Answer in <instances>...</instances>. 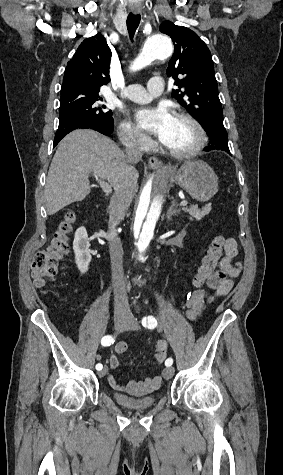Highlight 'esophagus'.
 I'll return each mask as SVG.
<instances>
[{
  "label": "esophagus",
  "mask_w": 283,
  "mask_h": 475,
  "mask_svg": "<svg viewBox=\"0 0 283 475\" xmlns=\"http://www.w3.org/2000/svg\"><path fill=\"white\" fill-rule=\"evenodd\" d=\"M133 13L138 14L140 13V10H133ZM148 165L152 168H162V162L155 156L150 157Z\"/></svg>",
  "instance_id": "34e87169"
}]
</instances>
